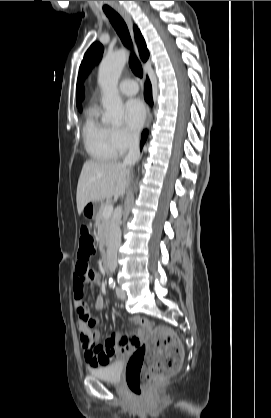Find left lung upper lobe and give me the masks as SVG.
Returning <instances> with one entry per match:
<instances>
[{"instance_id":"left-lung-upper-lobe-1","label":"left lung upper lobe","mask_w":271,"mask_h":418,"mask_svg":"<svg viewBox=\"0 0 271 418\" xmlns=\"http://www.w3.org/2000/svg\"><path fill=\"white\" fill-rule=\"evenodd\" d=\"M102 53L103 46L100 43L95 42L90 46V48L85 53L83 61L80 65V77L85 78L87 76L92 66L100 60Z\"/></svg>"}]
</instances>
